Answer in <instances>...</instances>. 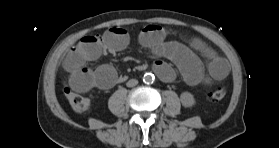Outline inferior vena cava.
Segmentation results:
<instances>
[{"label": "inferior vena cava", "instance_id": "602c4592", "mask_svg": "<svg viewBox=\"0 0 279 148\" xmlns=\"http://www.w3.org/2000/svg\"><path fill=\"white\" fill-rule=\"evenodd\" d=\"M138 84V80L136 79H130L128 82H127V87H134Z\"/></svg>", "mask_w": 279, "mask_h": 148}]
</instances>
